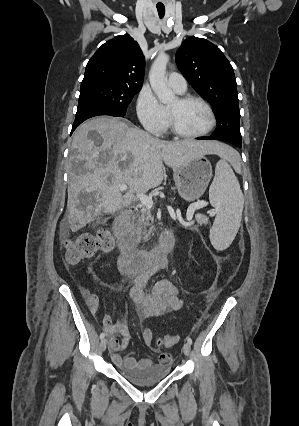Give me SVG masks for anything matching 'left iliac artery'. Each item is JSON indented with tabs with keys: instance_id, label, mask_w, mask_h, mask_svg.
Returning a JSON list of instances; mask_svg holds the SVG:
<instances>
[{
	"instance_id": "obj_1",
	"label": "left iliac artery",
	"mask_w": 299,
	"mask_h": 426,
	"mask_svg": "<svg viewBox=\"0 0 299 426\" xmlns=\"http://www.w3.org/2000/svg\"><path fill=\"white\" fill-rule=\"evenodd\" d=\"M187 342L191 345L192 344V339L190 337H187Z\"/></svg>"
}]
</instances>
